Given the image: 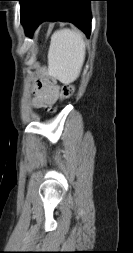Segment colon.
<instances>
[{
	"label": "colon",
	"mask_w": 133,
	"mask_h": 253,
	"mask_svg": "<svg viewBox=\"0 0 133 253\" xmlns=\"http://www.w3.org/2000/svg\"><path fill=\"white\" fill-rule=\"evenodd\" d=\"M74 92V87L72 85H65L62 90V98H69Z\"/></svg>",
	"instance_id": "5ec220e1"
}]
</instances>
